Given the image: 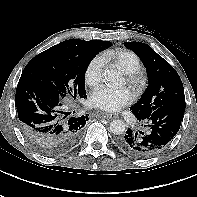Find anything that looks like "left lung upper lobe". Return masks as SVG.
<instances>
[{
    "label": "left lung upper lobe",
    "mask_w": 197,
    "mask_h": 197,
    "mask_svg": "<svg viewBox=\"0 0 197 197\" xmlns=\"http://www.w3.org/2000/svg\"><path fill=\"white\" fill-rule=\"evenodd\" d=\"M143 62L148 86L139 101L130 107L137 119H144L160 106L173 102H185L184 88L176 70L149 45L141 42H125Z\"/></svg>",
    "instance_id": "1"
}]
</instances>
